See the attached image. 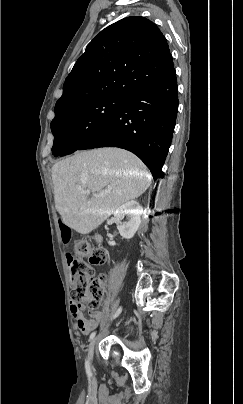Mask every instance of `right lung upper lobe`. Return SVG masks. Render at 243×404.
<instances>
[{"mask_svg":"<svg viewBox=\"0 0 243 404\" xmlns=\"http://www.w3.org/2000/svg\"><path fill=\"white\" fill-rule=\"evenodd\" d=\"M173 69L167 40L152 21L121 19L102 30L77 60L56 102L55 117L96 99L126 98Z\"/></svg>","mask_w":243,"mask_h":404,"instance_id":"cb5924a9","label":"right lung upper lobe"}]
</instances>
